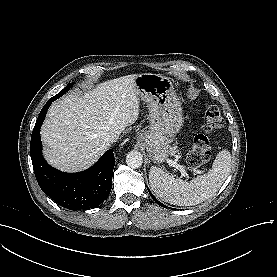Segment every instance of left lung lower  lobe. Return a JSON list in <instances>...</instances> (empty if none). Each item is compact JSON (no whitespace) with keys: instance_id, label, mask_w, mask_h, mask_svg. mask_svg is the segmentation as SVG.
Here are the masks:
<instances>
[{"instance_id":"0a47b994","label":"left lung lower lobe","mask_w":277,"mask_h":277,"mask_svg":"<svg viewBox=\"0 0 277 277\" xmlns=\"http://www.w3.org/2000/svg\"><path fill=\"white\" fill-rule=\"evenodd\" d=\"M148 191H149L151 197L153 198V200H154L158 205H160V206H162V207H165V205H163L161 202H159V201L152 195V193L150 192V190H148ZM165 208H167V207H165Z\"/></svg>"}]
</instances>
